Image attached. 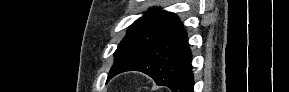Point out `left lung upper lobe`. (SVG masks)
I'll list each match as a JSON object with an SVG mask.
<instances>
[{
	"label": "left lung upper lobe",
	"instance_id": "left-lung-upper-lobe-1",
	"mask_svg": "<svg viewBox=\"0 0 289 92\" xmlns=\"http://www.w3.org/2000/svg\"><path fill=\"white\" fill-rule=\"evenodd\" d=\"M179 21L180 19L174 13L161 10V8L150 9L141 18L137 19L129 27L127 35L114 52V64L110 69L109 75L125 67L151 45L165 30Z\"/></svg>",
	"mask_w": 289,
	"mask_h": 92
}]
</instances>
